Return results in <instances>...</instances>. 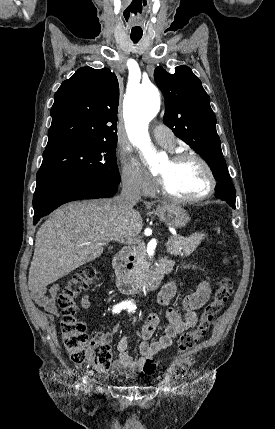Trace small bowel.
Listing matches in <instances>:
<instances>
[{
  "instance_id": "1",
  "label": "small bowel",
  "mask_w": 275,
  "mask_h": 429,
  "mask_svg": "<svg viewBox=\"0 0 275 429\" xmlns=\"http://www.w3.org/2000/svg\"><path fill=\"white\" fill-rule=\"evenodd\" d=\"M58 285H53L48 289L38 288L32 291V298L47 312L57 314L58 310L55 304V297L58 293ZM176 293V284L169 281L164 285L158 294V302L165 307L163 313H151L141 330L142 340L139 344V357L134 359L128 351L129 340L123 336L117 344L118 358L112 365V372L116 375L130 376L138 372H145L146 365L160 351L167 349L172 345L173 340L185 330L192 328L197 323L196 311L200 309L209 299L211 286L207 281L202 282L196 290L186 295L182 300V311L179 312L170 306ZM82 307H90V298L84 295L81 301ZM165 318L168 326L163 334L155 341H150L161 320ZM119 330L118 325H113L109 331L99 333L97 337H102L108 341ZM146 373V372H145Z\"/></svg>"
}]
</instances>
